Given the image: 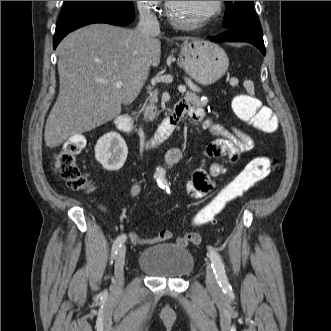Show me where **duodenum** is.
<instances>
[{
  "label": "duodenum",
  "instance_id": "410a0bca",
  "mask_svg": "<svg viewBox=\"0 0 331 331\" xmlns=\"http://www.w3.org/2000/svg\"><path fill=\"white\" fill-rule=\"evenodd\" d=\"M184 113L179 106H176L169 115L163 120L153 137L145 143L148 149H154L162 145L177 127ZM115 125L118 130L124 133L132 131V123L128 115L121 114L115 118Z\"/></svg>",
  "mask_w": 331,
  "mask_h": 331
}]
</instances>
